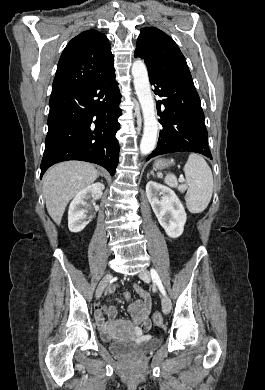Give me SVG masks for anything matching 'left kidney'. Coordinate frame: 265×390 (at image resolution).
<instances>
[{
    "instance_id": "1",
    "label": "left kidney",
    "mask_w": 265,
    "mask_h": 390,
    "mask_svg": "<svg viewBox=\"0 0 265 390\" xmlns=\"http://www.w3.org/2000/svg\"><path fill=\"white\" fill-rule=\"evenodd\" d=\"M146 195L165 233L170 238L181 236L187 216L175 192L162 184L149 181L146 185Z\"/></svg>"
}]
</instances>
